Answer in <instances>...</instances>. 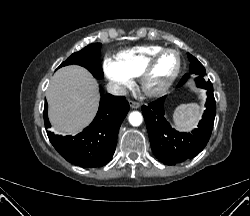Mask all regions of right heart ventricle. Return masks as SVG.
I'll use <instances>...</instances> for the list:
<instances>
[{"mask_svg":"<svg viewBox=\"0 0 250 216\" xmlns=\"http://www.w3.org/2000/svg\"><path fill=\"white\" fill-rule=\"evenodd\" d=\"M164 49L160 45H143L120 52L116 61L131 77H138L153 54Z\"/></svg>","mask_w":250,"mask_h":216,"instance_id":"e07e8e85","label":"right heart ventricle"}]
</instances>
